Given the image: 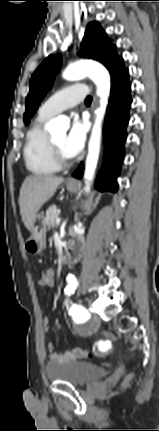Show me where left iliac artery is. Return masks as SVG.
Instances as JSON below:
<instances>
[{
	"label": "left iliac artery",
	"instance_id": "obj_1",
	"mask_svg": "<svg viewBox=\"0 0 159 431\" xmlns=\"http://www.w3.org/2000/svg\"><path fill=\"white\" fill-rule=\"evenodd\" d=\"M67 281L68 286L65 289V294L70 295L75 292V289L77 287V280L75 278H71L67 279ZM67 307L69 314L73 317L75 321L84 322L90 317L88 311L80 304L71 303V305Z\"/></svg>",
	"mask_w": 159,
	"mask_h": 431
}]
</instances>
